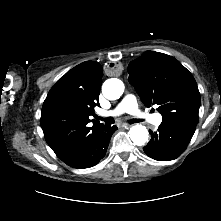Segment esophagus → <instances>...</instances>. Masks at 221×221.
Segmentation results:
<instances>
[{
	"label": "esophagus",
	"instance_id": "esophagus-1",
	"mask_svg": "<svg viewBox=\"0 0 221 221\" xmlns=\"http://www.w3.org/2000/svg\"><path fill=\"white\" fill-rule=\"evenodd\" d=\"M131 125L129 124H123L122 127H124L125 129H128Z\"/></svg>",
	"mask_w": 221,
	"mask_h": 221
}]
</instances>
